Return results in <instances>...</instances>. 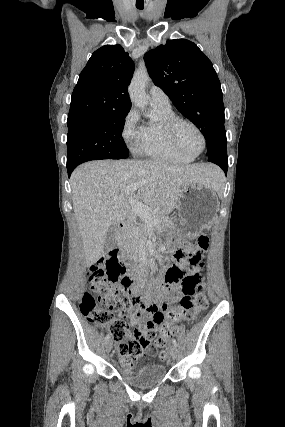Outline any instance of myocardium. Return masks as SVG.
Here are the masks:
<instances>
[{
  "label": "myocardium",
  "instance_id": "1",
  "mask_svg": "<svg viewBox=\"0 0 285 427\" xmlns=\"http://www.w3.org/2000/svg\"><path fill=\"white\" fill-rule=\"evenodd\" d=\"M181 125H189L192 128H194L196 130V132L199 134L201 141H202V148L198 153L190 154L180 145L178 138H177V130H178L179 126H181ZM163 129H164V132L166 133L170 143L178 152H180L186 156H189L191 158H195L204 152V150L206 148V138H205L204 133L200 129V127L197 124H195L194 122H192L188 119H184V118H180V117L175 116V117L168 118L165 121H163Z\"/></svg>",
  "mask_w": 285,
  "mask_h": 427
}]
</instances>
